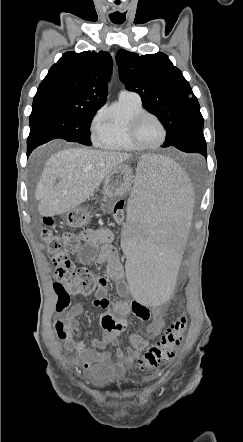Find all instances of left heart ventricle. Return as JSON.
<instances>
[{
  "instance_id": "1",
  "label": "left heart ventricle",
  "mask_w": 243,
  "mask_h": 442,
  "mask_svg": "<svg viewBox=\"0 0 243 442\" xmlns=\"http://www.w3.org/2000/svg\"><path fill=\"white\" fill-rule=\"evenodd\" d=\"M162 137V129L152 117H146L140 121L137 127L138 140L148 146L157 144Z\"/></svg>"
}]
</instances>
